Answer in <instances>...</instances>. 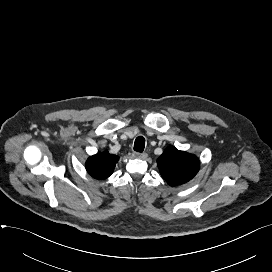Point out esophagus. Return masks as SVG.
I'll return each mask as SVG.
<instances>
[{
	"label": "esophagus",
	"instance_id": "obj_1",
	"mask_svg": "<svg viewBox=\"0 0 272 272\" xmlns=\"http://www.w3.org/2000/svg\"><path fill=\"white\" fill-rule=\"evenodd\" d=\"M133 156L138 159H146L148 157L147 153H134Z\"/></svg>",
	"mask_w": 272,
	"mask_h": 272
}]
</instances>
